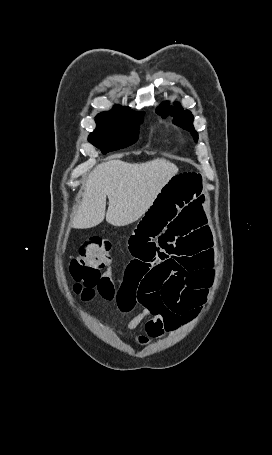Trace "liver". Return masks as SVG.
I'll return each instance as SVG.
<instances>
[{
    "instance_id": "liver-1",
    "label": "liver",
    "mask_w": 272,
    "mask_h": 455,
    "mask_svg": "<svg viewBox=\"0 0 272 455\" xmlns=\"http://www.w3.org/2000/svg\"><path fill=\"white\" fill-rule=\"evenodd\" d=\"M178 170L175 164L165 159L133 164L114 159L97 165L82 186V201L72 225L92 228L105 217L113 226H126L137 221Z\"/></svg>"
}]
</instances>
